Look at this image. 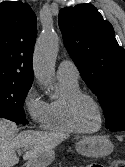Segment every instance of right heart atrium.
I'll list each match as a JSON object with an SVG mask.
<instances>
[{
    "label": "right heart atrium",
    "instance_id": "1",
    "mask_svg": "<svg viewBox=\"0 0 125 167\" xmlns=\"http://www.w3.org/2000/svg\"><path fill=\"white\" fill-rule=\"evenodd\" d=\"M22 107L34 125H43L47 112V103L43 100L35 85H31L26 90L22 100Z\"/></svg>",
    "mask_w": 125,
    "mask_h": 167
}]
</instances>
